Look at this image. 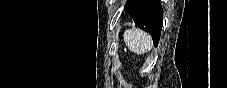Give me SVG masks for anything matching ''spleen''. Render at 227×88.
Segmentation results:
<instances>
[{
  "instance_id": "1",
  "label": "spleen",
  "mask_w": 227,
  "mask_h": 88,
  "mask_svg": "<svg viewBox=\"0 0 227 88\" xmlns=\"http://www.w3.org/2000/svg\"><path fill=\"white\" fill-rule=\"evenodd\" d=\"M123 39L129 50L136 54H144L152 48L150 35L137 28L126 30Z\"/></svg>"
}]
</instances>
